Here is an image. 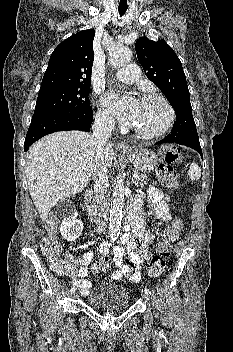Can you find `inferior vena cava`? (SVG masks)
<instances>
[{
    "mask_svg": "<svg viewBox=\"0 0 233 352\" xmlns=\"http://www.w3.org/2000/svg\"><path fill=\"white\" fill-rule=\"evenodd\" d=\"M114 128L113 120L104 115L97 114L92 125V142L95 147L96 157L92 168V179L94 181L95 200L97 202V218L94 220L97 231L100 233L105 229L109 218V192L107 167L103 159V148L111 137Z\"/></svg>",
    "mask_w": 233,
    "mask_h": 352,
    "instance_id": "1",
    "label": "inferior vena cava"
}]
</instances>
